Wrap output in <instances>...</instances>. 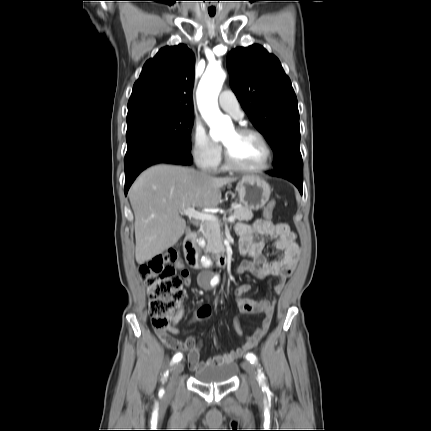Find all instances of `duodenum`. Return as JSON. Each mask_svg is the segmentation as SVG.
<instances>
[{
	"instance_id": "obj_1",
	"label": "duodenum",
	"mask_w": 431,
	"mask_h": 431,
	"mask_svg": "<svg viewBox=\"0 0 431 431\" xmlns=\"http://www.w3.org/2000/svg\"><path fill=\"white\" fill-rule=\"evenodd\" d=\"M184 253L187 263L192 268H200V254L196 247V234L195 232L189 233L183 243ZM212 261L218 267H223L226 265V257L222 252H218L212 256Z\"/></svg>"
}]
</instances>
